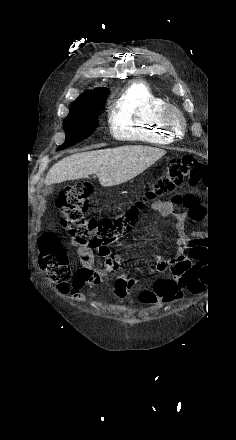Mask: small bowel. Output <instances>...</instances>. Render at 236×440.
Returning a JSON list of instances; mask_svg holds the SVG:
<instances>
[{"label":"small bowel","instance_id":"small-bowel-1","mask_svg":"<svg viewBox=\"0 0 236 440\" xmlns=\"http://www.w3.org/2000/svg\"><path fill=\"white\" fill-rule=\"evenodd\" d=\"M183 208L184 211H179ZM151 210L161 217H172L175 220V230L177 232L176 246L174 254L168 257H159L151 272L169 273L172 281L177 288L188 287L193 280H202V265L196 249L197 234L188 233L186 221L192 219L199 221L204 216V209L197 202V198L192 193L176 195L170 201L155 200L151 204ZM70 245L77 249L81 262V267L77 270L72 282L70 297L78 302L86 300V296L81 290L87 286L93 288L108 276L116 275L114 279L115 294L124 301H131V296L135 292L138 281L130 278L122 269L121 260L117 255L111 253L107 247H99L93 250L87 245L80 244L74 239L70 240ZM191 251V255L187 251ZM65 258L67 254L63 248ZM95 252L104 259V264L100 268H94ZM140 299L146 304H156L160 297L153 294L150 300ZM93 302L96 301L94 294L91 295Z\"/></svg>","mask_w":236,"mask_h":440}]
</instances>
